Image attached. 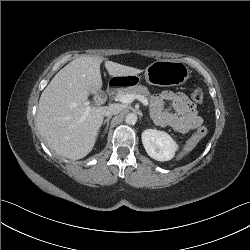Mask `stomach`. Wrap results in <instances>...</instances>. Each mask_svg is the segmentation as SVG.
Instances as JSON below:
<instances>
[{
	"label": "stomach",
	"mask_w": 250,
	"mask_h": 250,
	"mask_svg": "<svg viewBox=\"0 0 250 250\" xmlns=\"http://www.w3.org/2000/svg\"><path fill=\"white\" fill-rule=\"evenodd\" d=\"M115 78L123 79L121 86L133 87L140 81L138 75H127ZM189 78L188 67L173 60H157L145 69V80L156 86H179L184 84Z\"/></svg>",
	"instance_id": "obj_1"
}]
</instances>
